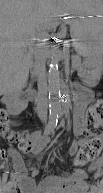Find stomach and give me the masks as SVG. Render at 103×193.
I'll return each instance as SVG.
<instances>
[{"mask_svg":"<svg viewBox=\"0 0 103 193\" xmlns=\"http://www.w3.org/2000/svg\"><path fill=\"white\" fill-rule=\"evenodd\" d=\"M78 2H76L77 4L73 5V8L76 7L77 5L82 6V13L84 15H96L99 11L98 5H100V1L99 0H76ZM81 47L84 50H87V42H82L81 43Z\"/></svg>","mask_w":103,"mask_h":193,"instance_id":"0dacf381","label":"stomach"}]
</instances>
